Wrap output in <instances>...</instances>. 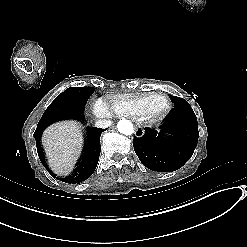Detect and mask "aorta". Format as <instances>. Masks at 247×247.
Masks as SVG:
<instances>
[{
    "instance_id": "1",
    "label": "aorta",
    "mask_w": 247,
    "mask_h": 247,
    "mask_svg": "<svg viewBox=\"0 0 247 247\" xmlns=\"http://www.w3.org/2000/svg\"><path fill=\"white\" fill-rule=\"evenodd\" d=\"M118 131L124 135H131L134 132L133 124L129 120L122 119L117 124Z\"/></svg>"
}]
</instances>
